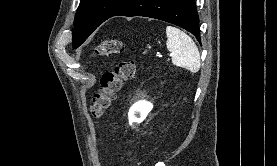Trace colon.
Wrapping results in <instances>:
<instances>
[{"instance_id": "5ec220e1", "label": "colon", "mask_w": 277, "mask_h": 166, "mask_svg": "<svg viewBox=\"0 0 277 166\" xmlns=\"http://www.w3.org/2000/svg\"><path fill=\"white\" fill-rule=\"evenodd\" d=\"M122 41L115 38L104 39L94 48L97 57H107L123 52ZM136 63L133 60L120 62L112 71L106 72L101 78L100 88L94 95L90 106L92 118L98 122L115 100L123 84L135 76Z\"/></svg>"}]
</instances>
